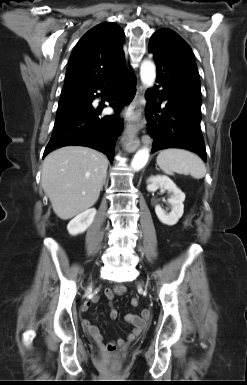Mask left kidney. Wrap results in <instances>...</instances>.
Instances as JSON below:
<instances>
[{
	"label": "left kidney",
	"mask_w": 247,
	"mask_h": 385,
	"mask_svg": "<svg viewBox=\"0 0 247 385\" xmlns=\"http://www.w3.org/2000/svg\"><path fill=\"white\" fill-rule=\"evenodd\" d=\"M159 188H163L171 193V197L168 199V203L171 205V212L166 213L160 205H157L155 207L156 215L163 224L173 226L183 215L185 194L167 176L157 175L149 177L147 180V190L155 192Z\"/></svg>",
	"instance_id": "obj_1"
}]
</instances>
